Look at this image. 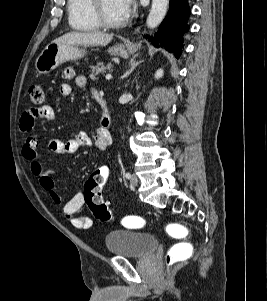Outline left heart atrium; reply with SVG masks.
Returning <instances> with one entry per match:
<instances>
[{"mask_svg":"<svg viewBox=\"0 0 267 301\" xmlns=\"http://www.w3.org/2000/svg\"><path fill=\"white\" fill-rule=\"evenodd\" d=\"M120 12L126 17L132 9V0H115Z\"/></svg>","mask_w":267,"mask_h":301,"instance_id":"obj_1","label":"left heart atrium"}]
</instances>
